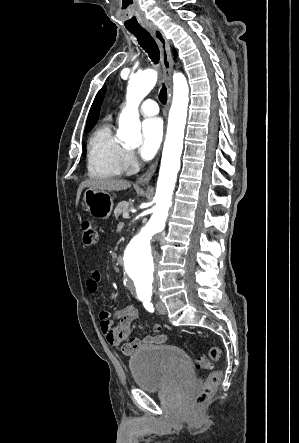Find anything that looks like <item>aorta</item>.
<instances>
[{
  "instance_id": "obj_1",
  "label": "aorta",
  "mask_w": 299,
  "mask_h": 443,
  "mask_svg": "<svg viewBox=\"0 0 299 443\" xmlns=\"http://www.w3.org/2000/svg\"><path fill=\"white\" fill-rule=\"evenodd\" d=\"M157 82V72L145 70L130 77L127 87L126 107L119 117L117 137L127 144L141 141L138 106ZM189 103V87L182 73L173 75V100L169 111L166 140L155 194L156 205L150 220L130 240L124 254L125 272L131 280L133 295L139 300L154 296L156 281V256L152 240L165 227L172 195L180 170L184 129Z\"/></svg>"
}]
</instances>
